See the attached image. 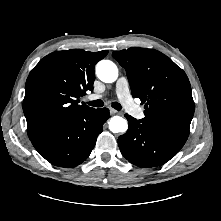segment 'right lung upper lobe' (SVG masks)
Listing matches in <instances>:
<instances>
[{"mask_svg": "<svg viewBox=\"0 0 221 221\" xmlns=\"http://www.w3.org/2000/svg\"><path fill=\"white\" fill-rule=\"evenodd\" d=\"M108 51L81 49L53 52L30 72L23 100L29 138L58 130L77 115L89 111L79 98L93 90L95 64Z\"/></svg>", "mask_w": 221, "mask_h": 221, "instance_id": "cb5924a9", "label": "right lung upper lobe"}]
</instances>
